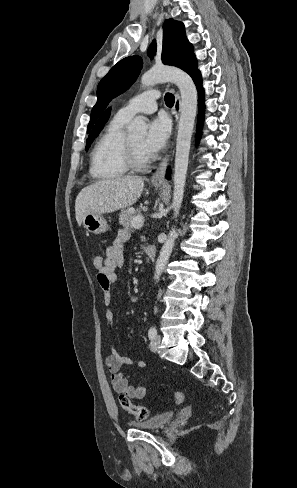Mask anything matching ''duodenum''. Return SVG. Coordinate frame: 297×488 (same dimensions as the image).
<instances>
[{"instance_id": "obj_1", "label": "duodenum", "mask_w": 297, "mask_h": 488, "mask_svg": "<svg viewBox=\"0 0 297 488\" xmlns=\"http://www.w3.org/2000/svg\"><path fill=\"white\" fill-rule=\"evenodd\" d=\"M146 254H147L148 260L152 261V260H154V258L156 256V251L153 247L147 246L146 247Z\"/></svg>"}]
</instances>
